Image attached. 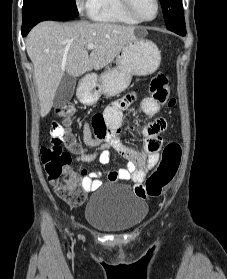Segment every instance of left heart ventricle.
Returning a JSON list of instances; mask_svg holds the SVG:
<instances>
[{"instance_id":"1","label":"left heart ventricle","mask_w":227,"mask_h":279,"mask_svg":"<svg viewBox=\"0 0 227 279\" xmlns=\"http://www.w3.org/2000/svg\"><path fill=\"white\" fill-rule=\"evenodd\" d=\"M136 13L142 18H152L156 12L154 0H132Z\"/></svg>"}]
</instances>
